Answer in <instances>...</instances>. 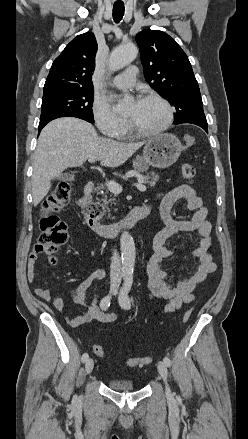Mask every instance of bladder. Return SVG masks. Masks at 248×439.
<instances>
[{
    "instance_id": "1",
    "label": "bladder",
    "mask_w": 248,
    "mask_h": 439,
    "mask_svg": "<svg viewBox=\"0 0 248 439\" xmlns=\"http://www.w3.org/2000/svg\"><path fill=\"white\" fill-rule=\"evenodd\" d=\"M108 385L114 391L130 392L134 390V384L128 380L109 379Z\"/></svg>"
}]
</instances>
